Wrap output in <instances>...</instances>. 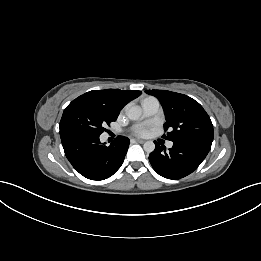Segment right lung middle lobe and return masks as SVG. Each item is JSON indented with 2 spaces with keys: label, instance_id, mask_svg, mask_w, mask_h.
<instances>
[{
  "label": "right lung middle lobe",
  "instance_id": "dd1d6c3e",
  "mask_svg": "<svg viewBox=\"0 0 261 261\" xmlns=\"http://www.w3.org/2000/svg\"><path fill=\"white\" fill-rule=\"evenodd\" d=\"M117 116L109 112L100 103L89 99L78 97L65 109L60 121V131H87L101 135L104 126L110 125Z\"/></svg>",
  "mask_w": 261,
  "mask_h": 261
}]
</instances>
